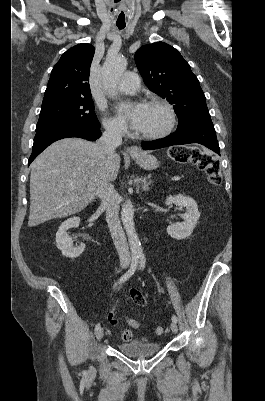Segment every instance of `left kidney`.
<instances>
[{
  "instance_id": "obj_1",
  "label": "left kidney",
  "mask_w": 265,
  "mask_h": 401,
  "mask_svg": "<svg viewBox=\"0 0 265 401\" xmlns=\"http://www.w3.org/2000/svg\"><path fill=\"white\" fill-rule=\"evenodd\" d=\"M177 205V207H186V213L182 215L183 223H174L167 227V233L172 239H186L193 233L194 227L200 217L197 203L191 196L185 194H176V196H167L165 205Z\"/></svg>"
}]
</instances>
